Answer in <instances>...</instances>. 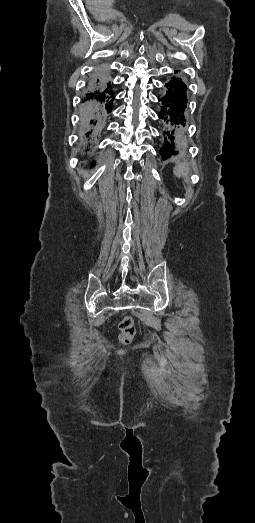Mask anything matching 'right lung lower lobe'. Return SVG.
I'll return each instance as SVG.
<instances>
[{"mask_svg":"<svg viewBox=\"0 0 255 523\" xmlns=\"http://www.w3.org/2000/svg\"><path fill=\"white\" fill-rule=\"evenodd\" d=\"M91 104H92L93 106H96V105L98 104V101H97L96 99H93V100L91 101ZM92 165H93V164H92Z\"/></svg>","mask_w":255,"mask_h":523,"instance_id":"1","label":"right lung lower lobe"}]
</instances>
